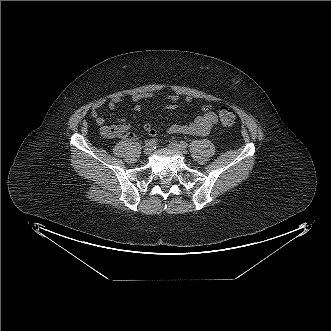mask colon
<instances>
[{"label": "colon", "instance_id": "colon-1", "mask_svg": "<svg viewBox=\"0 0 331 331\" xmlns=\"http://www.w3.org/2000/svg\"><path fill=\"white\" fill-rule=\"evenodd\" d=\"M218 116L224 126H231L235 122V112L227 106L219 108Z\"/></svg>", "mask_w": 331, "mask_h": 331}]
</instances>
